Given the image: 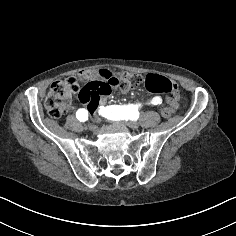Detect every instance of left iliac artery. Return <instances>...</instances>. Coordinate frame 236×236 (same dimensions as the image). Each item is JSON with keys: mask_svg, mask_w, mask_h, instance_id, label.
Listing matches in <instances>:
<instances>
[{"mask_svg": "<svg viewBox=\"0 0 236 236\" xmlns=\"http://www.w3.org/2000/svg\"><path fill=\"white\" fill-rule=\"evenodd\" d=\"M152 104L157 105L162 103L160 97H155L151 101ZM141 104H129V105H111L107 107L100 106L99 115L107 118L108 120L118 121V120H128L131 116L138 112V107Z\"/></svg>", "mask_w": 236, "mask_h": 236, "instance_id": "1", "label": "left iliac artery"}]
</instances>
